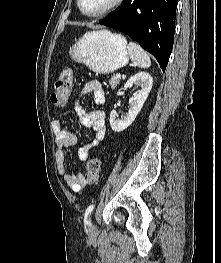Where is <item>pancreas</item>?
<instances>
[{
    "instance_id": "pancreas-1",
    "label": "pancreas",
    "mask_w": 221,
    "mask_h": 263,
    "mask_svg": "<svg viewBox=\"0 0 221 263\" xmlns=\"http://www.w3.org/2000/svg\"><path fill=\"white\" fill-rule=\"evenodd\" d=\"M119 82H120L119 78H116L115 75H112L111 78L109 79V84L112 89H114L119 84Z\"/></svg>"
}]
</instances>
